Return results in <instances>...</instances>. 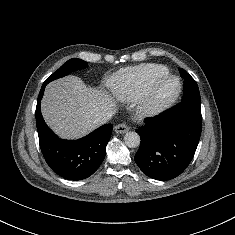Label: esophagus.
<instances>
[{
	"mask_svg": "<svg viewBox=\"0 0 235 235\" xmlns=\"http://www.w3.org/2000/svg\"><path fill=\"white\" fill-rule=\"evenodd\" d=\"M129 130V127L127 124L125 123H121V124H118L114 127V131L117 133V134H124L126 133L127 131Z\"/></svg>",
	"mask_w": 235,
	"mask_h": 235,
	"instance_id": "34e87169",
	"label": "esophagus"
}]
</instances>
